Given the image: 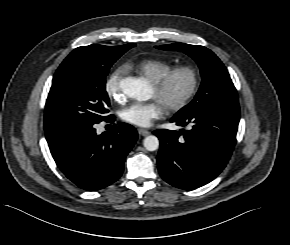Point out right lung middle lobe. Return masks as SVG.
I'll use <instances>...</instances> for the list:
<instances>
[{
	"label": "right lung middle lobe",
	"instance_id": "obj_1",
	"mask_svg": "<svg viewBox=\"0 0 290 245\" xmlns=\"http://www.w3.org/2000/svg\"><path fill=\"white\" fill-rule=\"evenodd\" d=\"M90 45L74 49L57 69L45 105V127L106 120L105 79L112 64L134 47Z\"/></svg>",
	"mask_w": 290,
	"mask_h": 245
}]
</instances>
